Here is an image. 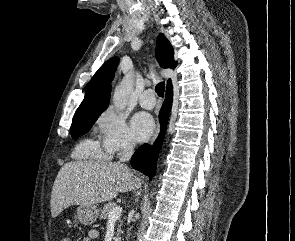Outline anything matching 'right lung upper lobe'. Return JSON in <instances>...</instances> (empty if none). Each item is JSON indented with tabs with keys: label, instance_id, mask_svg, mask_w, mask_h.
I'll return each mask as SVG.
<instances>
[{
	"label": "right lung upper lobe",
	"instance_id": "right-lung-upper-lobe-1",
	"mask_svg": "<svg viewBox=\"0 0 295 241\" xmlns=\"http://www.w3.org/2000/svg\"><path fill=\"white\" fill-rule=\"evenodd\" d=\"M156 56L162 68H175L177 65V62L174 61L173 47L163 34H159L157 39ZM118 63L119 58L113 57L98 69L89 82L85 97L77 111L95 110L108 106L111 92L110 83L113 80ZM170 84L171 81L169 80L167 85Z\"/></svg>",
	"mask_w": 295,
	"mask_h": 241
}]
</instances>
